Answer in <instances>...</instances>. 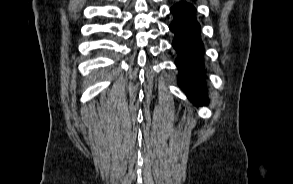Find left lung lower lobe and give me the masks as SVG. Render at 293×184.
I'll use <instances>...</instances> for the list:
<instances>
[{"label":"left lung lower lobe","instance_id":"left-lung-lower-lobe-1","mask_svg":"<svg viewBox=\"0 0 293 184\" xmlns=\"http://www.w3.org/2000/svg\"><path fill=\"white\" fill-rule=\"evenodd\" d=\"M174 20L170 30L175 33L173 47L178 53L176 65L179 68V85L188 98L197 105H205L206 89L203 82V45L200 26L195 19L193 5L180 2L171 8Z\"/></svg>","mask_w":293,"mask_h":184}]
</instances>
